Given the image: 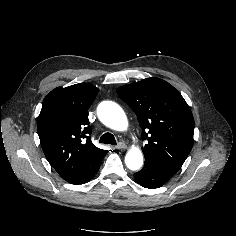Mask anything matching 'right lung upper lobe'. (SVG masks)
I'll use <instances>...</instances> for the list:
<instances>
[{"label":"right lung upper lobe","mask_w":236,"mask_h":236,"mask_svg":"<svg viewBox=\"0 0 236 236\" xmlns=\"http://www.w3.org/2000/svg\"><path fill=\"white\" fill-rule=\"evenodd\" d=\"M98 89L88 83L57 87L44 99L37 130L50 165L67 182L85 178L101 164L107 150L91 141L87 110Z\"/></svg>","instance_id":"obj_1"}]
</instances>
